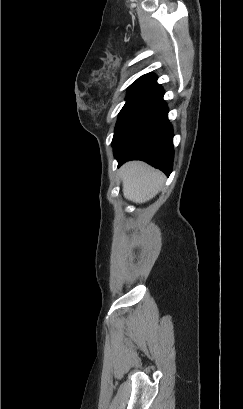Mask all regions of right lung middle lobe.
I'll return each mask as SVG.
<instances>
[{
	"mask_svg": "<svg viewBox=\"0 0 243 409\" xmlns=\"http://www.w3.org/2000/svg\"><path fill=\"white\" fill-rule=\"evenodd\" d=\"M156 80L137 79L129 88L126 104L119 113L113 140L138 107L159 87Z\"/></svg>",
	"mask_w": 243,
	"mask_h": 409,
	"instance_id": "right-lung-middle-lobe-1",
	"label": "right lung middle lobe"
}]
</instances>
